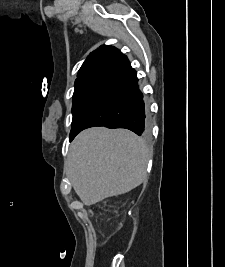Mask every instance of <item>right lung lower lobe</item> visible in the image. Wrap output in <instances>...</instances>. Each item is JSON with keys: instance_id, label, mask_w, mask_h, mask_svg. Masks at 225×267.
Returning <instances> with one entry per match:
<instances>
[{"instance_id": "obj_1", "label": "right lung lower lobe", "mask_w": 225, "mask_h": 267, "mask_svg": "<svg viewBox=\"0 0 225 267\" xmlns=\"http://www.w3.org/2000/svg\"><path fill=\"white\" fill-rule=\"evenodd\" d=\"M146 112L136 71L120 55L87 92L70 133V141L82 130L104 126L126 128L146 135Z\"/></svg>"}]
</instances>
